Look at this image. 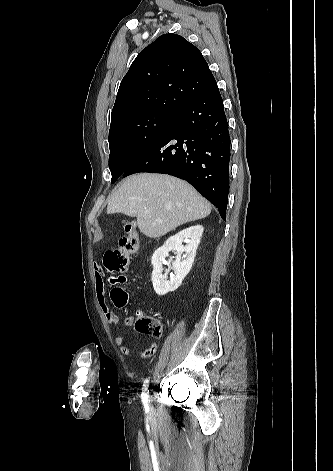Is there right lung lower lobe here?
Listing matches in <instances>:
<instances>
[{"label": "right lung lower lobe", "instance_id": "right-lung-lower-lobe-1", "mask_svg": "<svg viewBox=\"0 0 333 471\" xmlns=\"http://www.w3.org/2000/svg\"><path fill=\"white\" fill-rule=\"evenodd\" d=\"M230 136L217 83L192 99L123 173H165L188 181L226 217Z\"/></svg>", "mask_w": 333, "mask_h": 471}]
</instances>
